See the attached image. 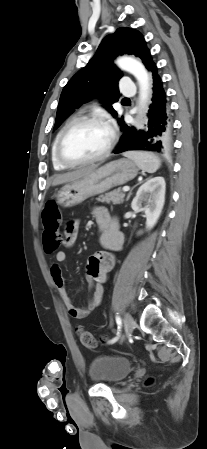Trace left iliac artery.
<instances>
[{
    "mask_svg": "<svg viewBox=\"0 0 207 449\" xmlns=\"http://www.w3.org/2000/svg\"><path fill=\"white\" fill-rule=\"evenodd\" d=\"M116 323H117L118 329H119V331H120L121 325H122L120 316H116ZM119 336H120V332H118L117 337H115L114 339H112V340L110 341V343L116 342V341L118 340Z\"/></svg>",
    "mask_w": 207,
    "mask_h": 449,
    "instance_id": "left-iliac-artery-1",
    "label": "left iliac artery"
}]
</instances>
